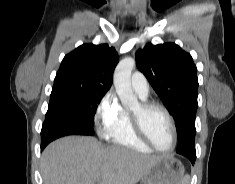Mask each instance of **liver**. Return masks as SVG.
I'll return each instance as SVG.
<instances>
[{"label":"liver","instance_id":"obj_1","mask_svg":"<svg viewBox=\"0 0 235 184\" xmlns=\"http://www.w3.org/2000/svg\"><path fill=\"white\" fill-rule=\"evenodd\" d=\"M168 156H142L128 148L103 146L92 136L51 142L41 158L44 184H137L151 166Z\"/></svg>","mask_w":235,"mask_h":184}]
</instances>
